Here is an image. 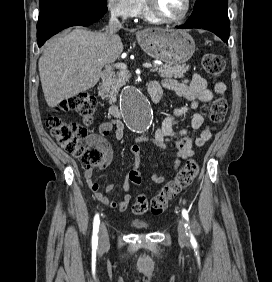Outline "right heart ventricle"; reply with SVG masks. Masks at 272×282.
<instances>
[{
    "instance_id": "obj_1",
    "label": "right heart ventricle",
    "mask_w": 272,
    "mask_h": 282,
    "mask_svg": "<svg viewBox=\"0 0 272 282\" xmlns=\"http://www.w3.org/2000/svg\"><path fill=\"white\" fill-rule=\"evenodd\" d=\"M142 16L148 21H154V18L152 16H150L149 14H147V12L144 11V10L142 12Z\"/></svg>"
}]
</instances>
